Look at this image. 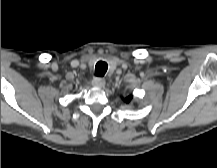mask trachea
<instances>
[{
	"label": "trachea",
	"instance_id": "3493384b",
	"mask_svg": "<svg viewBox=\"0 0 217 168\" xmlns=\"http://www.w3.org/2000/svg\"><path fill=\"white\" fill-rule=\"evenodd\" d=\"M107 69H108L107 63L104 61H99L95 66V75L98 77H102L107 72Z\"/></svg>",
	"mask_w": 217,
	"mask_h": 168
}]
</instances>
